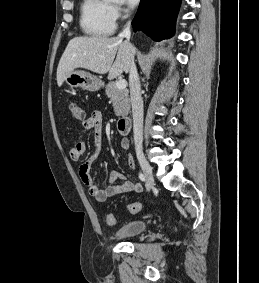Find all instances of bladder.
<instances>
[{
  "label": "bladder",
  "instance_id": "1",
  "mask_svg": "<svg viewBox=\"0 0 259 283\" xmlns=\"http://www.w3.org/2000/svg\"><path fill=\"white\" fill-rule=\"evenodd\" d=\"M147 223L142 220H133L126 222L115 232L118 239H126L137 236L145 231Z\"/></svg>",
  "mask_w": 259,
  "mask_h": 283
}]
</instances>
